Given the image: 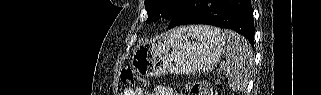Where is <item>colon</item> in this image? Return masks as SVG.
Instances as JSON below:
<instances>
[{"label":"colon","instance_id":"obj_1","mask_svg":"<svg viewBox=\"0 0 321 95\" xmlns=\"http://www.w3.org/2000/svg\"><path fill=\"white\" fill-rule=\"evenodd\" d=\"M121 80L123 83L134 86L137 84H144L145 81L136 75L131 69L124 68L121 71ZM187 89L193 94H201V95H219L217 91L212 89L209 85L204 82L194 81L191 82Z\"/></svg>","mask_w":321,"mask_h":95}]
</instances>
